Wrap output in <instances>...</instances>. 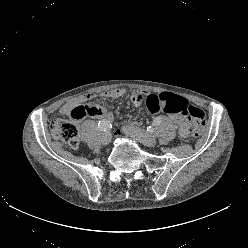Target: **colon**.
<instances>
[{
	"instance_id": "colon-1",
	"label": "colon",
	"mask_w": 248,
	"mask_h": 248,
	"mask_svg": "<svg viewBox=\"0 0 248 248\" xmlns=\"http://www.w3.org/2000/svg\"><path fill=\"white\" fill-rule=\"evenodd\" d=\"M146 107L149 113L164 112L167 114H186L193 121L191 135L200 137L205 130V114L199 107L189 105L183 97L170 93L149 95L146 99ZM90 113L88 105H78L70 113L73 120L78 121ZM52 137L69 147L76 148L79 145L80 135L76 124L65 119H56L49 126Z\"/></svg>"
}]
</instances>
